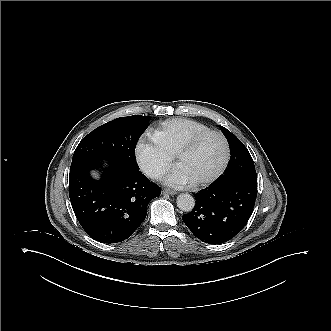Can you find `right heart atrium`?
Returning <instances> with one entry per match:
<instances>
[{
    "mask_svg": "<svg viewBox=\"0 0 331 331\" xmlns=\"http://www.w3.org/2000/svg\"><path fill=\"white\" fill-rule=\"evenodd\" d=\"M135 159L141 170L155 179L165 174L171 165V155L161 151L154 142L148 139L139 141Z\"/></svg>",
    "mask_w": 331,
    "mask_h": 331,
    "instance_id": "d8ad5b80",
    "label": "right heart atrium"
}]
</instances>
